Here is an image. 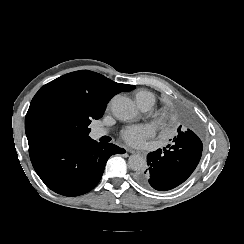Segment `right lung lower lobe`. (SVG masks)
Segmentation results:
<instances>
[{
	"mask_svg": "<svg viewBox=\"0 0 244 244\" xmlns=\"http://www.w3.org/2000/svg\"><path fill=\"white\" fill-rule=\"evenodd\" d=\"M32 165L47 187L65 196L82 195L100 181L106 162L125 150L83 139H28Z\"/></svg>",
	"mask_w": 244,
	"mask_h": 244,
	"instance_id": "1",
	"label": "right lung lower lobe"
}]
</instances>
